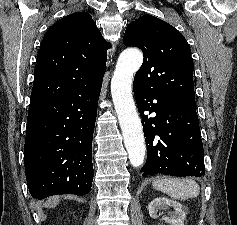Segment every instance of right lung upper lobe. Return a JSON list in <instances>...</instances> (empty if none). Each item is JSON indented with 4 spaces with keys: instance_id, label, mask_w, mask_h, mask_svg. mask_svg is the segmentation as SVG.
I'll return each mask as SVG.
<instances>
[{
    "instance_id": "cb5924a9",
    "label": "right lung upper lobe",
    "mask_w": 237,
    "mask_h": 225,
    "mask_svg": "<svg viewBox=\"0 0 237 225\" xmlns=\"http://www.w3.org/2000/svg\"><path fill=\"white\" fill-rule=\"evenodd\" d=\"M109 45L88 13H73L53 24L37 55L30 103L59 99L102 81Z\"/></svg>"
}]
</instances>
